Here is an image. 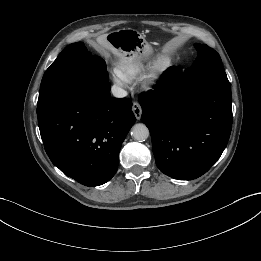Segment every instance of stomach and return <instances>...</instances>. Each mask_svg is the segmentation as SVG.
I'll use <instances>...</instances> for the list:
<instances>
[{
    "label": "stomach",
    "mask_w": 261,
    "mask_h": 261,
    "mask_svg": "<svg viewBox=\"0 0 261 261\" xmlns=\"http://www.w3.org/2000/svg\"><path fill=\"white\" fill-rule=\"evenodd\" d=\"M107 41L131 60H143L152 47L137 30L124 28L107 34Z\"/></svg>",
    "instance_id": "0dacf381"
}]
</instances>
